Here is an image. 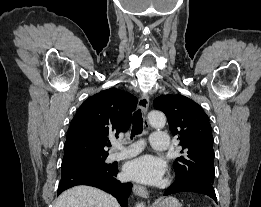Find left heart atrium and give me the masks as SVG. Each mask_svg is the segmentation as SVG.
<instances>
[{
	"label": "left heart atrium",
	"mask_w": 261,
	"mask_h": 207,
	"mask_svg": "<svg viewBox=\"0 0 261 207\" xmlns=\"http://www.w3.org/2000/svg\"><path fill=\"white\" fill-rule=\"evenodd\" d=\"M164 172V161L152 155H143L133 159L124 167L126 178L146 184L159 183Z\"/></svg>",
	"instance_id": "39dd6f15"
}]
</instances>
